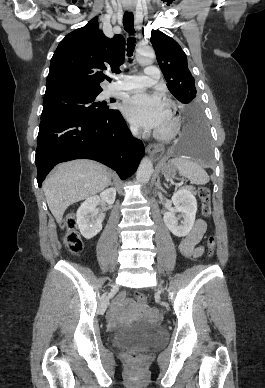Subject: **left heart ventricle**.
Segmentation results:
<instances>
[{"mask_svg": "<svg viewBox=\"0 0 265 388\" xmlns=\"http://www.w3.org/2000/svg\"><path fill=\"white\" fill-rule=\"evenodd\" d=\"M155 85V84H154ZM154 85L153 86H144L143 87V89H148V90H152V89H155L154 88ZM168 120V119H167ZM167 120L164 122V123H162L160 126H159V128H163L166 124H167Z\"/></svg>", "mask_w": 265, "mask_h": 388, "instance_id": "b2bd125f", "label": "left heart ventricle"}]
</instances>
